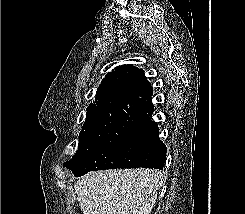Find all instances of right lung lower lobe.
Instances as JSON below:
<instances>
[{"instance_id":"1","label":"right lung lower lobe","mask_w":245,"mask_h":214,"mask_svg":"<svg viewBox=\"0 0 245 214\" xmlns=\"http://www.w3.org/2000/svg\"><path fill=\"white\" fill-rule=\"evenodd\" d=\"M140 113L138 122L127 128L128 137L117 147L120 160L117 168L161 169L164 167L167 148L159 139V129L151 119L153 104L150 96L143 98Z\"/></svg>"}]
</instances>
